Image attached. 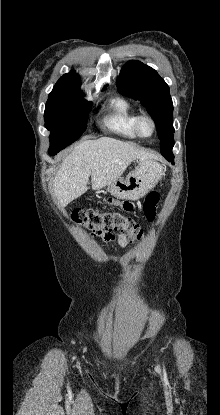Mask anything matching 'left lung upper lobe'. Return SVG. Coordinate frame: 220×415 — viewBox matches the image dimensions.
<instances>
[{
    "label": "left lung upper lobe",
    "mask_w": 220,
    "mask_h": 415,
    "mask_svg": "<svg viewBox=\"0 0 220 415\" xmlns=\"http://www.w3.org/2000/svg\"><path fill=\"white\" fill-rule=\"evenodd\" d=\"M119 92L140 100L153 117L162 155L173 154V104L169 87L156 70L140 61L130 60L116 82Z\"/></svg>",
    "instance_id": "1"
}]
</instances>
